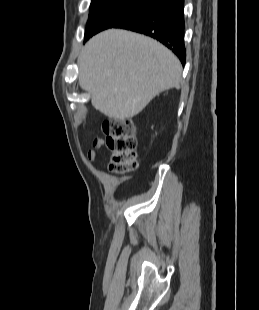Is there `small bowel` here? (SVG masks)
Wrapping results in <instances>:
<instances>
[{"instance_id": "1", "label": "small bowel", "mask_w": 259, "mask_h": 310, "mask_svg": "<svg viewBox=\"0 0 259 310\" xmlns=\"http://www.w3.org/2000/svg\"><path fill=\"white\" fill-rule=\"evenodd\" d=\"M104 145V140L101 137H96L93 141L92 148L87 152L89 161L94 162L98 158V149Z\"/></svg>"}]
</instances>
